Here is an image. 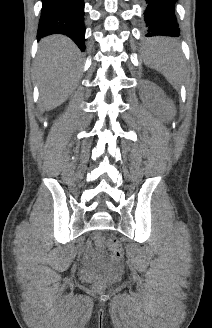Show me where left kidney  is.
I'll return each instance as SVG.
<instances>
[{
    "label": "left kidney",
    "instance_id": "obj_1",
    "mask_svg": "<svg viewBox=\"0 0 212 328\" xmlns=\"http://www.w3.org/2000/svg\"><path fill=\"white\" fill-rule=\"evenodd\" d=\"M152 87V86H150ZM160 101L162 103V107L165 111L166 117L171 118L175 113V108L172 102L166 98V96L163 93H160Z\"/></svg>",
    "mask_w": 212,
    "mask_h": 328
}]
</instances>
